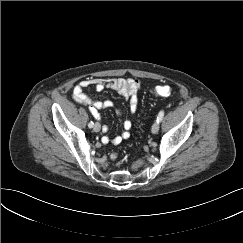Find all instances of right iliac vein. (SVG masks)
<instances>
[{"label":"right iliac vein","mask_w":243,"mask_h":243,"mask_svg":"<svg viewBox=\"0 0 243 243\" xmlns=\"http://www.w3.org/2000/svg\"><path fill=\"white\" fill-rule=\"evenodd\" d=\"M93 130H94L95 132H99V131L101 130V125H100V123L96 122V123L94 124V126H93Z\"/></svg>","instance_id":"1"}]
</instances>
